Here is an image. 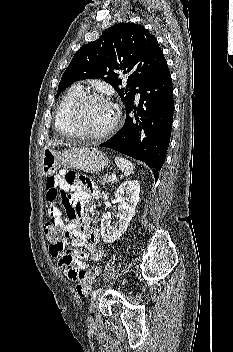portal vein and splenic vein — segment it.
Wrapping results in <instances>:
<instances>
[{"instance_id": "obj_1", "label": "portal vein and splenic vein", "mask_w": 233, "mask_h": 352, "mask_svg": "<svg viewBox=\"0 0 233 352\" xmlns=\"http://www.w3.org/2000/svg\"><path fill=\"white\" fill-rule=\"evenodd\" d=\"M111 179H112L113 181H115V180H116V175L112 174V175H111Z\"/></svg>"}]
</instances>
